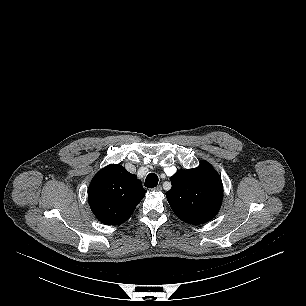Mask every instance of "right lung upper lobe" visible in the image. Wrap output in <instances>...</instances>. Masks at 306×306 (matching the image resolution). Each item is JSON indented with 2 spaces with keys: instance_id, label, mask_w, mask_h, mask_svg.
<instances>
[{
  "instance_id": "obj_1",
  "label": "right lung upper lobe",
  "mask_w": 306,
  "mask_h": 306,
  "mask_svg": "<svg viewBox=\"0 0 306 306\" xmlns=\"http://www.w3.org/2000/svg\"><path fill=\"white\" fill-rule=\"evenodd\" d=\"M145 193L136 175L120 165L111 164L93 177L88 189V201L99 221L119 225L132 215Z\"/></svg>"
}]
</instances>
